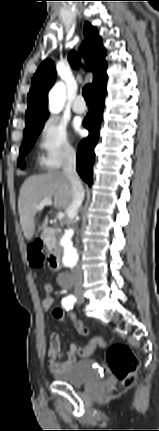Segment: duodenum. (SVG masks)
Here are the masks:
<instances>
[{"mask_svg":"<svg viewBox=\"0 0 159 431\" xmlns=\"http://www.w3.org/2000/svg\"><path fill=\"white\" fill-rule=\"evenodd\" d=\"M55 235V230L52 227H46L42 230L40 239L43 242H48ZM50 268L58 270L61 268V254L59 251H54L49 258Z\"/></svg>","mask_w":159,"mask_h":431,"instance_id":"1","label":"duodenum"}]
</instances>
